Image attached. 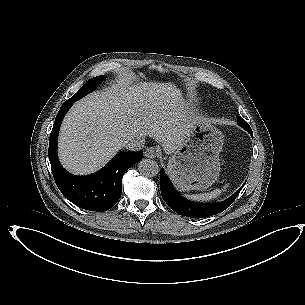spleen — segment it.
Segmentation results:
<instances>
[{
  "instance_id": "3e777b00",
  "label": "spleen",
  "mask_w": 305,
  "mask_h": 305,
  "mask_svg": "<svg viewBox=\"0 0 305 305\" xmlns=\"http://www.w3.org/2000/svg\"><path fill=\"white\" fill-rule=\"evenodd\" d=\"M221 189H215L209 193H200V194H193V195H185V197L192 201L197 202H208L221 194Z\"/></svg>"
}]
</instances>
